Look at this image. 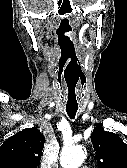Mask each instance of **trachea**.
Returning a JSON list of instances; mask_svg holds the SVG:
<instances>
[{
	"instance_id": "3493384b",
	"label": "trachea",
	"mask_w": 127,
	"mask_h": 168,
	"mask_svg": "<svg viewBox=\"0 0 127 168\" xmlns=\"http://www.w3.org/2000/svg\"><path fill=\"white\" fill-rule=\"evenodd\" d=\"M78 106H66V112L69 118L74 119L77 113Z\"/></svg>"
}]
</instances>
